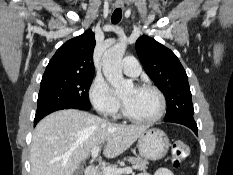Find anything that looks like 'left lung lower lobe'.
<instances>
[{
	"label": "left lung lower lobe",
	"instance_id": "left-lung-lower-lobe-1",
	"mask_svg": "<svg viewBox=\"0 0 233 175\" xmlns=\"http://www.w3.org/2000/svg\"><path fill=\"white\" fill-rule=\"evenodd\" d=\"M168 122L185 125L188 128H190L197 135L198 129H197V124L194 120H172V121H168Z\"/></svg>",
	"mask_w": 233,
	"mask_h": 175
}]
</instances>
